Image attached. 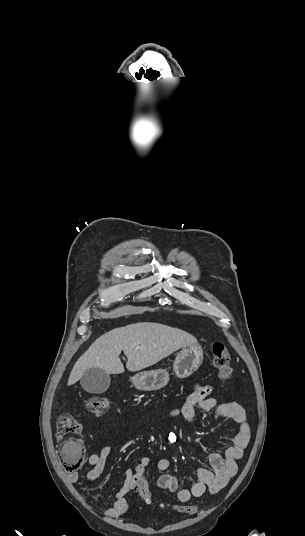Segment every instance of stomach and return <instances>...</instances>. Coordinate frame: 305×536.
<instances>
[{
    "mask_svg": "<svg viewBox=\"0 0 305 536\" xmlns=\"http://www.w3.org/2000/svg\"><path fill=\"white\" fill-rule=\"evenodd\" d=\"M202 360L203 350L199 344L183 346L181 352H178L173 364V370L177 378H188V376H191L201 366ZM130 380L137 390L152 392V390H160V388L167 386L169 374L166 370H150V372H139V374H136Z\"/></svg>",
    "mask_w": 305,
    "mask_h": 536,
    "instance_id": "0dacf381",
    "label": "stomach"
}]
</instances>
